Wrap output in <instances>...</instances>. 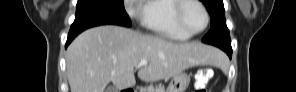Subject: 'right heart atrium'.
I'll return each mask as SVG.
<instances>
[{
    "mask_svg": "<svg viewBox=\"0 0 296 92\" xmlns=\"http://www.w3.org/2000/svg\"><path fill=\"white\" fill-rule=\"evenodd\" d=\"M126 3V10L128 15L133 19H141L144 16V8L143 3L144 1H133L127 0Z\"/></svg>",
    "mask_w": 296,
    "mask_h": 92,
    "instance_id": "d8ad5b80",
    "label": "right heart atrium"
}]
</instances>
